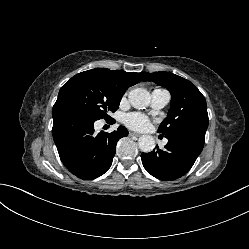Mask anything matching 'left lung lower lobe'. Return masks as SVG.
<instances>
[{
  "instance_id": "1",
  "label": "left lung lower lobe",
  "mask_w": 249,
  "mask_h": 249,
  "mask_svg": "<svg viewBox=\"0 0 249 249\" xmlns=\"http://www.w3.org/2000/svg\"><path fill=\"white\" fill-rule=\"evenodd\" d=\"M168 143L165 149L142 153L141 159L148 173L157 179L171 181L185 175L201 153L205 132L182 130L165 136Z\"/></svg>"
}]
</instances>
